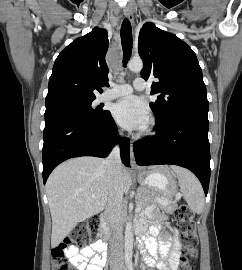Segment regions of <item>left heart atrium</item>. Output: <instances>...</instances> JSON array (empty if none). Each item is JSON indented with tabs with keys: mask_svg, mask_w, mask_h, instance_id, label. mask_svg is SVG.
<instances>
[{
	"mask_svg": "<svg viewBox=\"0 0 242 270\" xmlns=\"http://www.w3.org/2000/svg\"><path fill=\"white\" fill-rule=\"evenodd\" d=\"M115 119L127 129H143L149 122V110L144 102L135 96L118 101L112 109Z\"/></svg>",
	"mask_w": 242,
	"mask_h": 270,
	"instance_id": "left-heart-atrium-1",
	"label": "left heart atrium"
}]
</instances>
